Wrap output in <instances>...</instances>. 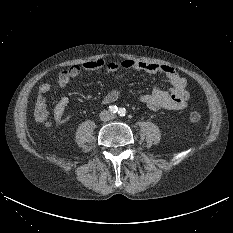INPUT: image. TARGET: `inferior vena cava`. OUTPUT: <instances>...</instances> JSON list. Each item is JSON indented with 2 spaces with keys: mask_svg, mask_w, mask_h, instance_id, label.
Wrapping results in <instances>:
<instances>
[{
  "mask_svg": "<svg viewBox=\"0 0 233 233\" xmlns=\"http://www.w3.org/2000/svg\"><path fill=\"white\" fill-rule=\"evenodd\" d=\"M113 118H114V115L112 113L106 112V116L103 118V120H110Z\"/></svg>",
  "mask_w": 233,
  "mask_h": 233,
  "instance_id": "obj_1",
  "label": "inferior vena cava"
}]
</instances>
